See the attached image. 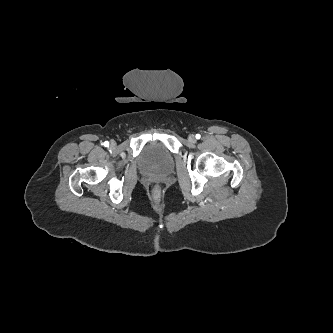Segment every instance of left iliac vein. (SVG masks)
<instances>
[{
    "mask_svg": "<svg viewBox=\"0 0 333 333\" xmlns=\"http://www.w3.org/2000/svg\"><path fill=\"white\" fill-rule=\"evenodd\" d=\"M188 140H189V142H191V143H196L195 135L190 134L189 137H188Z\"/></svg>",
    "mask_w": 333,
    "mask_h": 333,
    "instance_id": "obj_1",
    "label": "left iliac vein"
}]
</instances>
